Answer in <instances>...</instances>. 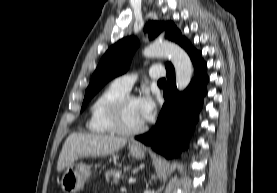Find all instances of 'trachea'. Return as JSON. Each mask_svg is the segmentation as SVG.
<instances>
[{
    "instance_id": "obj_1",
    "label": "trachea",
    "mask_w": 277,
    "mask_h": 193,
    "mask_svg": "<svg viewBox=\"0 0 277 193\" xmlns=\"http://www.w3.org/2000/svg\"><path fill=\"white\" fill-rule=\"evenodd\" d=\"M158 83H165V79H160Z\"/></svg>"
}]
</instances>
